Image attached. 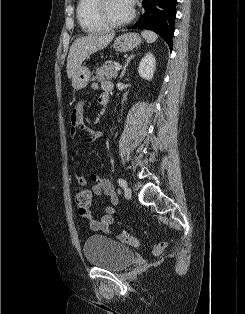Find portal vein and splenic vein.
<instances>
[{"instance_id":"portal-vein-and-splenic-vein-1","label":"portal vein and splenic vein","mask_w":245,"mask_h":314,"mask_svg":"<svg viewBox=\"0 0 245 314\" xmlns=\"http://www.w3.org/2000/svg\"><path fill=\"white\" fill-rule=\"evenodd\" d=\"M121 68H122V65H117V66L115 67V71H119Z\"/></svg>"}]
</instances>
